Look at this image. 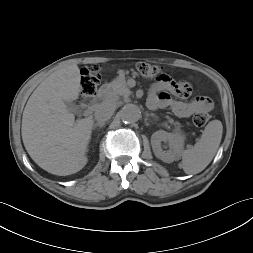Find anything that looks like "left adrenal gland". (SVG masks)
<instances>
[{
    "label": "left adrenal gland",
    "mask_w": 253,
    "mask_h": 253,
    "mask_svg": "<svg viewBox=\"0 0 253 253\" xmlns=\"http://www.w3.org/2000/svg\"><path fill=\"white\" fill-rule=\"evenodd\" d=\"M150 116H152V117H154V118L156 117L153 113H151Z\"/></svg>",
    "instance_id": "a2214340"
}]
</instances>
